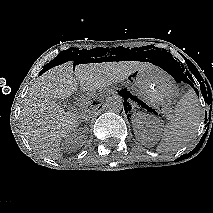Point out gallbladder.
<instances>
[{"instance_id": "1", "label": "gallbladder", "mask_w": 213, "mask_h": 213, "mask_svg": "<svg viewBox=\"0 0 213 213\" xmlns=\"http://www.w3.org/2000/svg\"><path fill=\"white\" fill-rule=\"evenodd\" d=\"M57 102L59 103V104H63L64 102H62V101H60V100H57Z\"/></svg>"}]
</instances>
